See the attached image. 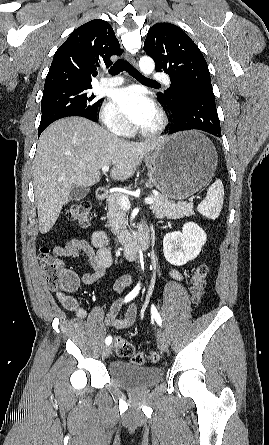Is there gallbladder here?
Returning <instances> with one entry per match:
<instances>
[{
    "mask_svg": "<svg viewBox=\"0 0 269 445\" xmlns=\"http://www.w3.org/2000/svg\"><path fill=\"white\" fill-rule=\"evenodd\" d=\"M90 191L89 187L75 185L70 192V201H79L85 198Z\"/></svg>",
    "mask_w": 269,
    "mask_h": 445,
    "instance_id": "1",
    "label": "gallbladder"
}]
</instances>
